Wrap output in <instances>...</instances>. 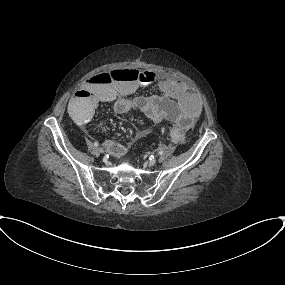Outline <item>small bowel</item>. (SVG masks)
Segmentation results:
<instances>
[{
    "instance_id": "c3829d8e",
    "label": "small bowel",
    "mask_w": 285,
    "mask_h": 285,
    "mask_svg": "<svg viewBox=\"0 0 285 285\" xmlns=\"http://www.w3.org/2000/svg\"><path fill=\"white\" fill-rule=\"evenodd\" d=\"M124 70L127 69L117 68L97 73L84 87L78 89L68 102V112L72 119L79 125H85L92 119L100 102L112 103L113 110L118 114L137 109L156 124H161L164 120L172 122L173 127L170 129L172 141L177 144L184 143L185 132L194 125L201 113L199 101L191 89L182 79L175 76H156L153 72L145 70L140 71L142 75L152 73L153 80L128 82L114 77V73ZM102 75L110 79V83H105ZM149 84H155L159 93L130 97L137 89ZM141 138L142 134L137 132L132 140L138 141ZM103 144L117 157L124 155L128 150L127 144L111 139H106Z\"/></svg>"
}]
</instances>
